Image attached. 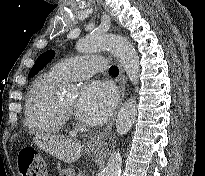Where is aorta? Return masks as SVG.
I'll return each instance as SVG.
<instances>
[{"mask_svg":"<svg viewBox=\"0 0 205 176\" xmlns=\"http://www.w3.org/2000/svg\"><path fill=\"white\" fill-rule=\"evenodd\" d=\"M80 53H92L102 50H110L122 67L125 69L129 80L133 85L138 83L140 74L139 58L133 45L123 36L113 33L102 35L92 34L80 39L76 43ZM73 93V90H71ZM137 115L136 98L128 99L121 107L116 120V131L124 135L132 128ZM122 156L119 150L112 153L103 176H120Z\"/></svg>","mask_w":205,"mask_h":176,"instance_id":"762f6f07","label":"aorta"}]
</instances>
